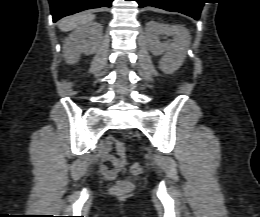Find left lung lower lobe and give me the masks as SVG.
Instances as JSON below:
<instances>
[{
  "mask_svg": "<svg viewBox=\"0 0 260 217\" xmlns=\"http://www.w3.org/2000/svg\"><path fill=\"white\" fill-rule=\"evenodd\" d=\"M140 8L153 6L172 12H180L196 20L200 17L204 0H135Z\"/></svg>",
  "mask_w": 260,
  "mask_h": 217,
  "instance_id": "0a47b994",
  "label": "left lung lower lobe"
}]
</instances>
